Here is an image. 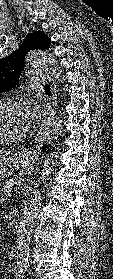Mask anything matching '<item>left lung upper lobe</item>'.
Masks as SVG:
<instances>
[{"mask_svg":"<svg viewBox=\"0 0 113 279\" xmlns=\"http://www.w3.org/2000/svg\"><path fill=\"white\" fill-rule=\"evenodd\" d=\"M50 47V39L42 31L27 34L18 50L8 57L0 59V93L16 86L18 78L25 64L26 54L33 49H47Z\"/></svg>","mask_w":113,"mask_h":279,"instance_id":"5c2ea615","label":"left lung upper lobe"}]
</instances>
